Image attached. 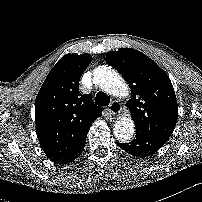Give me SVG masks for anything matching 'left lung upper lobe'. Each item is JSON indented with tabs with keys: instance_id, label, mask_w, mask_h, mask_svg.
<instances>
[{
	"instance_id": "obj_1",
	"label": "left lung upper lobe",
	"mask_w": 202,
	"mask_h": 202,
	"mask_svg": "<svg viewBox=\"0 0 202 202\" xmlns=\"http://www.w3.org/2000/svg\"><path fill=\"white\" fill-rule=\"evenodd\" d=\"M108 64L129 83L130 109L136 132L170 137L174 131L178 104L168 75L152 59L132 48L106 54Z\"/></svg>"
}]
</instances>
